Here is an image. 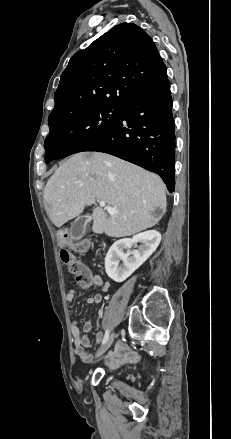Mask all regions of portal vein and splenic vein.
Returning <instances> with one entry per match:
<instances>
[{"label":"portal vein and splenic vein","instance_id":"18ae733b","mask_svg":"<svg viewBox=\"0 0 231 439\" xmlns=\"http://www.w3.org/2000/svg\"><path fill=\"white\" fill-rule=\"evenodd\" d=\"M99 205H100L101 207H103L104 210H107V212L110 213V214H116V213H118V211L116 210V208H113V207H111V206H109V205H106V203H105L104 201H99Z\"/></svg>","mask_w":231,"mask_h":439}]
</instances>
